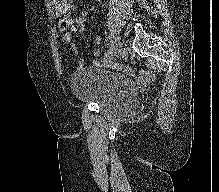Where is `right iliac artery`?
Returning a JSON list of instances; mask_svg holds the SVG:
<instances>
[{
	"mask_svg": "<svg viewBox=\"0 0 219 192\" xmlns=\"http://www.w3.org/2000/svg\"><path fill=\"white\" fill-rule=\"evenodd\" d=\"M113 47H114L113 41H110L107 53L105 54V57H104L105 60H109L111 58L112 53H113Z\"/></svg>",
	"mask_w": 219,
	"mask_h": 192,
	"instance_id": "1",
	"label": "right iliac artery"
}]
</instances>
